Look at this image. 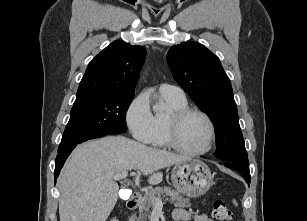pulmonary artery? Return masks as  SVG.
<instances>
[{"instance_id":"1","label":"pulmonary artery","mask_w":307,"mask_h":221,"mask_svg":"<svg viewBox=\"0 0 307 221\" xmlns=\"http://www.w3.org/2000/svg\"><path fill=\"white\" fill-rule=\"evenodd\" d=\"M159 92L161 94L169 95L172 97H177V98H185V94L183 90L175 85H170V84H161L159 87Z\"/></svg>"}]
</instances>
